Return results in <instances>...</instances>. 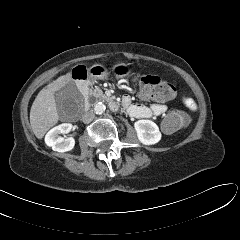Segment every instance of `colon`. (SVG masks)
I'll list each match as a JSON object with an SVG mask.
<instances>
[{
    "label": "colon",
    "instance_id": "1",
    "mask_svg": "<svg viewBox=\"0 0 240 240\" xmlns=\"http://www.w3.org/2000/svg\"><path fill=\"white\" fill-rule=\"evenodd\" d=\"M140 97L146 100L165 102L175 96V88L156 75H140L136 78ZM189 123L187 114L179 109L171 110L163 119L162 129L166 133L175 132Z\"/></svg>",
    "mask_w": 240,
    "mask_h": 240
}]
</instances>
